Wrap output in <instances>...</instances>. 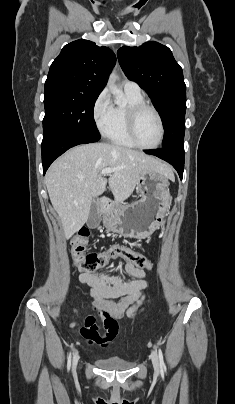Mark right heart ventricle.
I'll list each match as a JSON object with an SVG mask.
<instances>
[{
    "label": "right heart ventricle",
    "instance_id": "right-heart-ventricle-1",
    "mask_svg": "<svg viewBox=\"0 0 235 404\" xmlns=\"http://www.w3.org/2000/svg\"><path fill=\"white\" fill-rule=\"evenodd\" d=\"M126 104L121 106H113L109 123L104 130V136L113 144L126 147H137L129 138L127 133V109L131 105L144 103V98L141 93H131L125 91Z\"/></svg>",
    "mask_w": 235,
    "mask_h": 404
}]
</instances>
